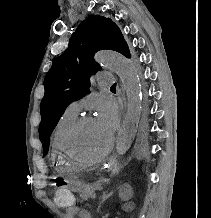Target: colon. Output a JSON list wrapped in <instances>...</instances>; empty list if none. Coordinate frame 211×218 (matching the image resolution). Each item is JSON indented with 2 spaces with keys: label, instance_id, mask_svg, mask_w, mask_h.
I'll use <instances>...</instances> for the list:
<instances>
[{
  "label": "colon",
  "instance_id": "colon-1",
  "mask_svg": "<svg viewBox=\"0 0 211 218\" xmlns=\"http://www.w3.org/2000/svg\"><path fill=\"white\" fill-rule=\"evenodd\" d=\"M56 204L61 208H71L75 206V197L72 191L64 186L57 187L54 195Z\"/></svg>",
  "mask_w": 211,
  "mask_h": 218
}]
</instances>
